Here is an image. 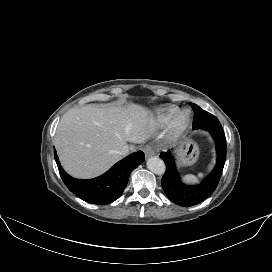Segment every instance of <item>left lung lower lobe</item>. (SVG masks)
Segmentation results:
<instances>
[{
	"mask_svg": "<svg viewBox=\"0 0 272 272\" xmlns=\"http://www.w3.org/2000/svg\"><path fill=\"white\" fill-rule=\"evenodd\" d=\"M195 129H204L211 133L216 142L217 162L213 171L198 185H185L176 171L175 160L171 151L160 154L167 170L161 185L167 197L174 203L189 207L204 201L216 189L226 159V139L223 128L217 118Z\"/></svg>",
	"mask_w": 272,
	"mask_h": 272,
	"instance_id": "obj_1",
	"label": "left lung lower lobe"
}]
</instances>
